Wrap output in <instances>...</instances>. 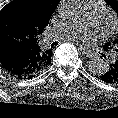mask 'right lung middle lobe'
<instances>
[{
    "label": "right lung middle lobe",
    "instance_id": "right-lung-middle-lobe-1",
    "mask_svg": "<svg viewBox=\"0 0 118 118\" xmlns=\"http://www.w3.org/2000/svg\"><path fill=\"white\" fill-rule=\"evenodd\" d=\"M30 7L28 0H13L0 11V20L7 23L16 36H26L35 31Z\"/></svg>",
    "mask_w": 118,
    "mask_h": 118
}]
</instances>
